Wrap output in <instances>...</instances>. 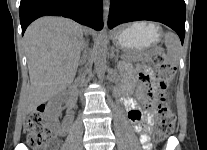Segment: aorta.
<instances>
[{"label":"aorta","instance_id":"762f6f07","mask_svg":"<svg viewBox=\"0 0 207 150\" xmlns=\"http://www.w3.org/2000/svg\"><path fill=\"white\" fill-rule=\"evenodd\" d=\"M109 8H110V0H104V7H103L104 27L98 37L97 47L95 52V60H94L97 76L100 80H103L107 69L106 58H107L108 43H109L108 35H107V21L109 16Z\"/></svg>","mask_w":207,"mask_h":150}]
</instances>
